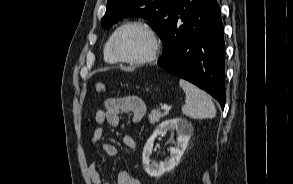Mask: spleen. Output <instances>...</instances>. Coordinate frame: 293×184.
I'll return each mask as SVG.
<instances>
[{
  "label": "spleen",
  "instance_id": "obj_1",
  "mask_svg": "<svg viewBox=\"0 0 293 184\" xmlns=\"http://www.w3.org/2000/svg\"><path fill=\"white\" fill-rule=\"evenodd\" d=\"M179 85L186 94V102L182 107L184 115L193 119L214 118L216 116L212 98L205 91L184 79L179 80Z\"/></svg>",
  "mask_w": 293,
  "mask_h": 184
}]
</instances>
